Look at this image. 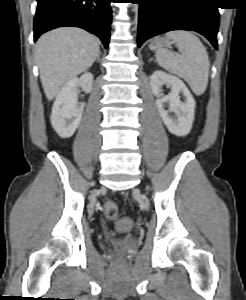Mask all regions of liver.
<instances>
[{
    "label": "liver",
    "mask_w": 246,
    "mask_h": 300,
    "mask_svg": "<svg viewBox=\"0 0 246 300\" xmlns=\"http://www.w3.org/2000/svg\"><path fill=\"white\" fill-rule=\"evenodd\" d=\"M98 53V39L79 28L62 27L42 35L35 57L47 99H54L64 83L90 68Z\"/></svg>",
    "instance_id": "liver-1"
}]
</instances>
